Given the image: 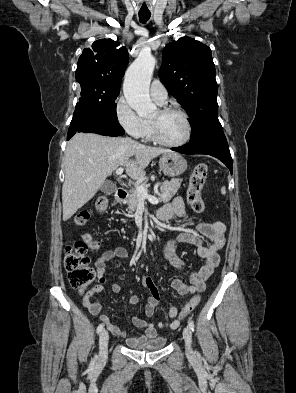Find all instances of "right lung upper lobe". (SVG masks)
I'll return each mask as SVG.
<instances>
[{
	"instance_id": "cb5924a9",
	"label": "right lung upper lobe",
	"mask_w": 296,
	"mask_h": 393,
	"mask_svg": "<svg viewBox=\"0 0 296 393\" xmlns=\"http://www.w3.org/2000/svg\"><path fill=\"white\" fill-rule=\"evenodd\" d=\"M112 39L93 43L92 49L83 50L78 60L76 80L81 87H92L103 92H119L121 78L129 61L125 47Z\"/></svg>"
}]
</instances>
